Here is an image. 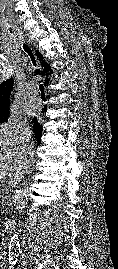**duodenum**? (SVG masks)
I'll use <instances>...</instances> for the list:
<instances>
[{"mask_svg":"<svg viewBox=\"0 0 118 269\" xmlns=\"http://www.w3.org/2000/svg\"><path fill=\"white\" fill-rule=\"evenodd\" d=\"M12 227H13L12 219L8 218L3 221L2 228L5 233H9L12 230Z\"/></svg>","mask_w":118,"mask_h":269,"instance_id":"obj_1","label":"duodenum"}]
</instances>
